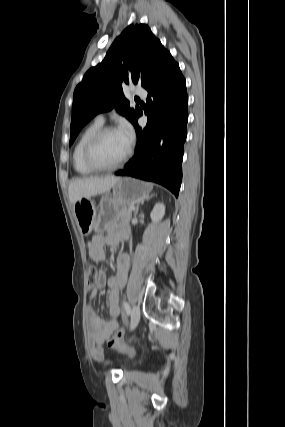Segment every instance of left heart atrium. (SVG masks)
<instances>
[{"label": "left heart atrium", "mask_w": 285, "mask_h": 427, "mask_svg": "<svg viewBox=\"0 0 285 427\" xmlns=\"http://www.w3.org/2000/svg\"><path fill=\"white\" fill-rule=\"evenodd\" d=\"M117 131L122 135V137L129 145L132 144L134 140V131L132 126L128 122H121Z\"/></svg>", "instance_id": "39dd6f15"}]
</instances>
